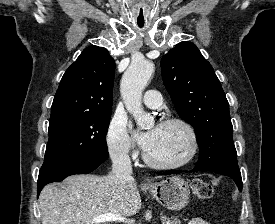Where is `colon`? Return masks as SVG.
Returning <instances> with one entry per match:
<instances>
[{"label": "colon", "mask_w": 275, "mask_h": 224, "mask_svg": "<svg viewBox=\"0 0 275 224\" xmlns=\"http://www.w3.org/2000/svg\"><path fill=\"white\" fill-rule=\"evenodd\" d=\"M191 191L194 199L197 201L207 200L213 194L212 186L199 179H196L191 183Z\"/></svg>", "instance_id": "obj_1"}]
</instances>
